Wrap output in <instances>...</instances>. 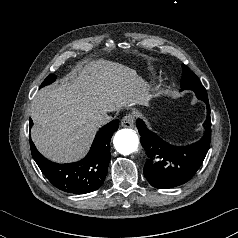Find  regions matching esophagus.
Wrapping results in <instances>:
<instances>
[{"instance_id": "1", "label": "esophagus", "mask_w": 238, "mask_h": 238, "mask_svg": "<svg viewBox=\"0 0 238 238\" xmlns=\"http://www.w3.org/2000/svg\"><path fill=\"white\" fill-rule=\"evenodd\" d=\"M134 116L132 114L125 115L121 120V126L125 128H133L134 127Z\"/></svg>"}]
</instances>
